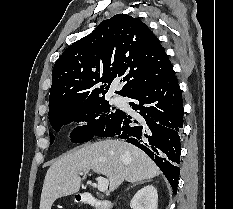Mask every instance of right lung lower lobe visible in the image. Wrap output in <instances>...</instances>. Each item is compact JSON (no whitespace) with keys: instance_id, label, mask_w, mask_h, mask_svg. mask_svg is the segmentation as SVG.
Segmentation results:
<instances>
[{"instance_id":"obj_1","label":"right lung lower lobe","mask_w":233,"mask_h":209,"mask_svg":"<svg viewBox=\"0 0 233 209\" xmlns=\"http://www.w3.org/2000/svg\"><path fill=\"white\" fill-rule=\"evenodd\" d=\"M127 97L130 106L141 116L134 119L122 112L100 137L118 135L142 149L161 169L174 194L177 192L180 168V134L183 127L181 90L173 67L152 85Z\"/></svg>"}]
</instances>
